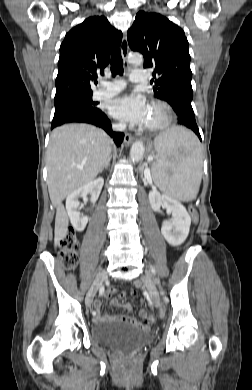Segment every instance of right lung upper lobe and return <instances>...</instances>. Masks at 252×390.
Segmentation results:
<instances>
[{"label":"right lung upper lobe","mask_w":252,"mask_h":390,"mask_svg":"<svg viewBox=\"0 0 252 390\" xmlns=\"http://www.w3.org/2000/svg\"><path fill=\"white\" fill-rule=\"evenodd\" d=\"M122 32L104 16H94L72 28L60 46L54 101L92 94L90 81L110 62Z\"/></svg>","instance_id":"right-lung-upper-lobe-1"}]
</instances>
